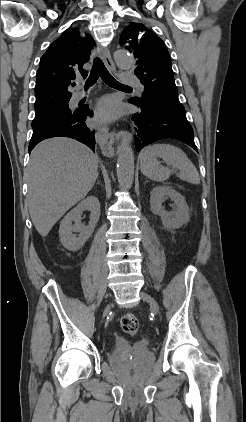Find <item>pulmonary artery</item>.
Segmentation results:
<instances>
[{"mask_svg": "<svg viewBox=\"0 0 246 422\" xmlns=\"http://www.w3.org/2000/svg\"><path fill=\"white\" fill-rule=\"evenodd\" d=\"M121 81L126 85H133L139 89H143V85L141 84L138 77L130 72H123L121 74ZM85 93L82 91L75 92L72 96L71 102L76 103L84 97Z\"/></svg>", "mask_w": 246, "mask_h": 422, "instance_id": "pulmonary-artery-1", "label": "pulmonary artery"}]
</instances>
